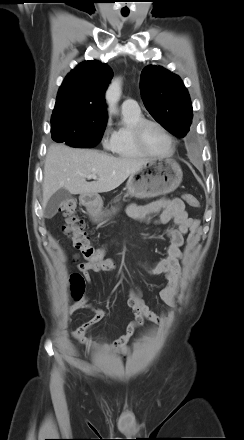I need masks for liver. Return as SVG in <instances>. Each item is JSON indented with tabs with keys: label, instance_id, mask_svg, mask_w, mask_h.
<instances>
[{
	"label": "liver",
	"instance_id": "1",
	"mask_svg": "<svg viewBox=\"0 0 244 440\" xmlns=\"http://www.w3.org/2000/svg\"><path fill=\"white\" fill-rule=\"evenodd\" d=\"M147 159L117 158L92 149L71 148L62 144L49 147L44 165L43 200H48L59 189L71 194L97 195L119 187L131 174L139 171ZM96 181L87 182L89 175Z\"/></svg>",
	"mask_w": 244,
	"mask_h": 440
}]
</instances>
